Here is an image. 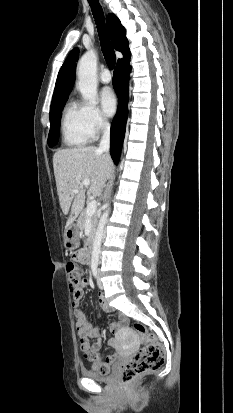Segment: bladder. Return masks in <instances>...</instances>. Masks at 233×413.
<instances>
[{
  "mask_svg": "<svg viewBox=\"0 0 233 413\" xmlns=\"http://www.w3.org/2000/svg\"><path fill=\"white\" fill-rule=\"evenodd\" d=\"M82 375L91 380H94L97 382H103V383L109 382L112 379V374L110 372L100 373V372L85 370V371H82Z\"/></svg>",
  "mask_w": 233,
  "mask_h": 413,
  "instance_id": "1",
  "label": "bladder"
}]
</instances>
